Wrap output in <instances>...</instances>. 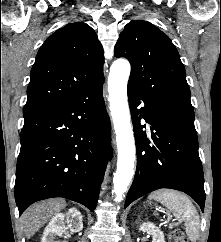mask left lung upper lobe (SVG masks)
<instances>
[{
	"label": "left lung upper lobe",
	"mask_w": 221,
	"mask_h": 242,
	"mask_svg": "<svg viewBox=\"0 0 221 242\" xmlns=\"http://www.w3.org/2000/svg\"><path fill=\"white\" fill-rule=\"evenodd\" d=\"M114 55L131 63L129 88L157 108L194 119L185 68L166 34L149 22L132 20L121 32Z\"/></svg>",
	"instance_id": "5c2ea615"
}]
</instances>
